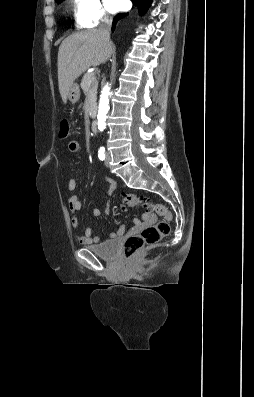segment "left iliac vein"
Returning a JSON list of instances; mask_svg holds the SVG:
<instances>
[{
    "label": "left iliac vein",
    "instance_id": "obj_1",
    "mask_svg": "<svg viewBox=\"0 0 254 397\" xmlns=\"http://www.w3.org/2000/svg\"><path fill=\"white\" fill-rule=\"evenodd\" d=\"M110 159H111L110 153L107 152V153H106V160H105V165H106V167H109V166H110Z\"/></svg>",
    "mask_w": 254,
    "mask_h": 397
}]
</instances>
